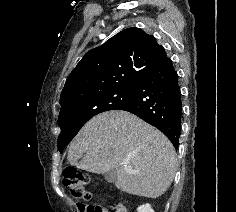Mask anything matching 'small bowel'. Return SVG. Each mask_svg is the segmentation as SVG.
I'll return each mask as SVG.
<instances>
[{"mask_svg":"<svg viewBox=\"0 0 236 212\" xmlns=\"http://www.w3.org/2000/svg\"><path fill=\"white\" fill-rule=\"evenodd\" d=\"M116 212H125V209L122 206H118Z\"/></svg>","mask_w":236,"mask_h":212,"instance_id":"c3829d8e","label":"small bowel"}]
</instances>
